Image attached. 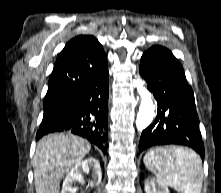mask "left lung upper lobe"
Here are the masks:
<instances>
[{
  "label": "left lung upper lobe",
  "mask_w": 221,
  "mask_h": 193,
  "mask_svg": "<svg viewBox=\"0 0 221 193\" xmlns=\"http://www.w3.org/2000/svg\"><path fill=\"white\" fill-rule=\"evenodd\" d=\"M174 120H175V115L171 114L170 118H169V121L171 122V126H173V127L175 126V123H174L175 121Z\"/></svg>",
  "instance_id": "left-lung-upper-lobe-1"
}]
</instances>
